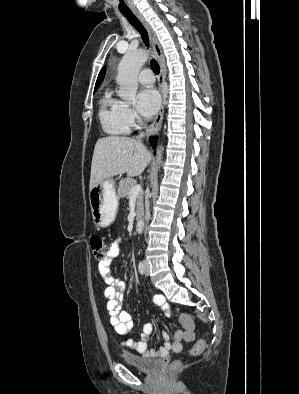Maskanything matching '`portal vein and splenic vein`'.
<instances>
[{"mask_svg":"<svg viewBox=\"0 0 299 394\" xmlns=\"http://www.w3.org/2000/svg\"><path fill=\"white\" fill-rule=\"evenodd\" d=\"M142 191V187L140 184L135 185L134 187L131 188L130 190V196L135 197L138 196L139 193Z\"/></svg>","mask_w":299,"mask_h":394,"instance_id":"1","label":"portal vein and splenic vein"}]
</instances>
